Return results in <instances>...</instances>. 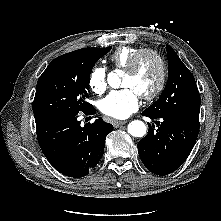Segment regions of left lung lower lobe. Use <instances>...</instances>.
Instances as JSON below:
<instances>
[{
  "label": "left lung lower lobe",
  "instance_id": "1",
  "mask_svg": "<svg viewBox=\"0 0 221 221\" xmlns=\"http://www.w3.org/2000/svg\"><path fill=\"white\" fill-rule=\"evenodd\" d=\"M143 116L157 119L147 112ZM162 122L154 131L149 125L147 136L138 142V153L145 167L154 174L167 175L177 170L190 154L198 133L199 119L161 117Z\"/></svg>",
  "mask_w": 221,
  "mask_h": 221
}]
</instances>
